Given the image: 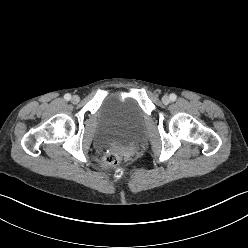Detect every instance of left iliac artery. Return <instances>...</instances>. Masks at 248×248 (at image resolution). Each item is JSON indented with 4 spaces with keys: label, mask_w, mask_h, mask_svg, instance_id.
<instances>
[{
    "label": "left iliac artery",
    "mask_w": 248,
    "mask_h": 248,
    "mask_svg": "<svg viewBox=\"0 0 248 248\" xmlns=\"http://www.w3.org/2000/svg\"><path fill=\"white\" fill-rule=\"evenodd\" d=\"M177 98V96L173 93V94H170V100L171 101H175Z\"/></svg>",
    "instance_id": "left-iliac-artery-1"
}]
</instances>
